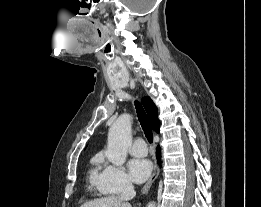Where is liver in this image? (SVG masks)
<instances>
[{"label": "liver", "mask_w": 261, "mask_h": 207, "mask_svg": "<svg viewBox=\"0 0 261 207\" xmlns=\"http://www.w3.org/2000/svg\"><path fill=\"white\" fill-rule=\"evenodd\" d=\"M80 207H131V205L117 196H107L82 204Z\"/></svg>", "instance_id": "6515ba94"}]
</instances>
